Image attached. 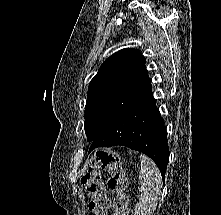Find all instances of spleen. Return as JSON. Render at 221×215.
Here are the masks:
<instances>
[{"mask_svg": "<svg viewBox=\"0 0 221 215\" xmlns=\"http://www.w3.org/2000/svg\"><path fill=\"white\" fill-rule=\"evenodd\" d=\"M141 171L138 189L139 202L135 205V215H153L161 196L162 178L156 164L147 156L140 155Z\"/></svg>", "mask_w": 221, "mask_h": 215, "instance_id": "3e777b00", "label": "spleen"}]
</instances>
